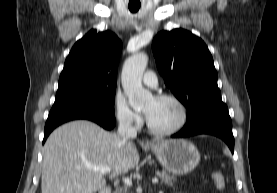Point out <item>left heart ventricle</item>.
I'll return each instance as SVG.
<instances>
[{
  "mask_svg": "<svg viewBox=\"0 0 277 193\" xmlns=\"http://www.w3.org/2000/svg\"><path fill=\"white\" fill-rule=\"evenodd\" d=\"M153 127L161 130L173 128L181 118L179 107L170 100L149 99L142 108Z\"/></svg>",
  "mask_w": 277,
  "mask_h": 193,
  "instance_id": "obj_1",
  "label": "left heart ventricle"
}]
</instances>
